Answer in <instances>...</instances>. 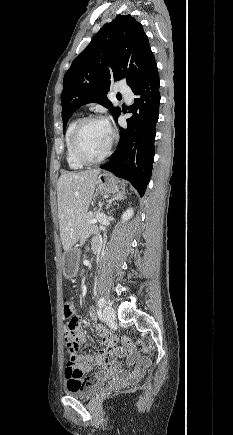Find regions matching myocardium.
I'll list each match as a JSON object with an SVG mask.
<instances>
[{
    "instance_id": "1",
    "label": "myocardium",
    "mask_w": 233,
    "mask_h": 435,
    "mask_svg": "<svg viewBox=\"0 0 233 435\" xmlns=\"http://www.w3.org/2000/svg\"><path fill=\"white\" fill-rule=\"evenodd\" d=\"M92 122H104V123H106L107 121L104 118H102L101 116H96V115L84 117V118L79 120V122L76 124V126L73 130V133H72L73 152H74L76 158L85 165H95V164H98V163H101L102 161H104L111 154V151H112L115 139H116V136H115L113 130L111 129V127L108 124L111 136H110V140H109L106 151L101 156H99L97 158L89 157L85 153V151L82 148V145L80 143V134H81V131L83 130V128L88 123H92Z\"/></svg>"
}]
</instances>
